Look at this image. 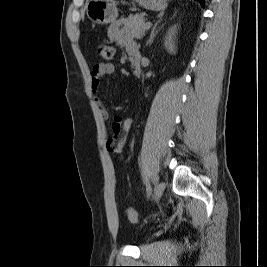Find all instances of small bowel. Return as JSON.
I'll return each instance as SVG.
<instances>
[{"mask_svg": "<svg viewBox=\"0 0 267 267\" xmlns=\"http://www.w3.org/2000/svg\"><path fill=\"white\" fill-rule=\"evenodd\" d=\"M109 40L123 46L130 59L139 57L138 47L133 40L126 36L122 29L120 22L112 24L108 29ZM115 72V66L111 63L96 64L91 71V89L92 93L96 95L99 91L100 81L103 77L111 75ZM99 114L103 120L109 118V113L102 102L96 98ZM133 120L131 118H123L115 116L112 123L113 135L106 140V148L114 154H120L127 144L129 132L131 130Z\"/></svg>", "mask_w": 267, "mask_h": 267, "instance_id": "obj_1", "label": "small bowel"}]
</instances>
